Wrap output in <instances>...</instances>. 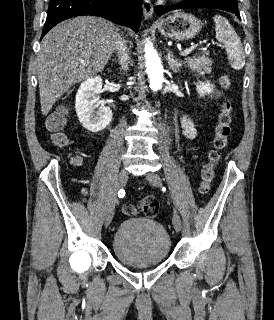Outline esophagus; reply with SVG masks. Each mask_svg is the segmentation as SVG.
<instances>
[{
    "instance_id": "obj_1",
    "label": "esophagus",
    "mask_w": 274,
    "mask_h": 320,
    "mask_svg": "<svg viewBox=\"0 0 274 320\" xmlns=\"http://www.w3.org/2000/svg\"><path fill=\"white\" fill-rule=\"evenodd\" d=\"M143 15L145 20H149L153 16L154 7L151 0H142Z\"/></svg>"
}]
</instances>
